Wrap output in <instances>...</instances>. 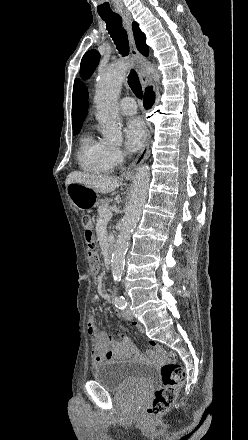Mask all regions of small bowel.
I'll return each instance as SVG.
<instances>
[{
  "label": "small bowel",
  "mask_w": 248,
  "mask_h": 440,
  "mask_svg": "<svg viewBox=\"0 0 248 440\" xmlns=\"http://www.w3.org/2000/svg\"><path fill=\"white\" fill-rule=\"evenodd\" d=\"M105 298H108V296L105 295ZM117 315H119V313H117ZM132 325L136 327L139 332H143V327L140 324L133 322ZM87 331L91 338L92 364L94 367L102 362L116 360L122 357H139V352L129 337L126 335H120L119 337L107 335L99 329L97 322L93 317L88 320ZM146 345L148 347H153L156 354L160 355L162 353V349L157 344L155 338H148L146 340Z\"/></svg>",
  "instance_id": "small-bowel-1"
}]
</instances>
